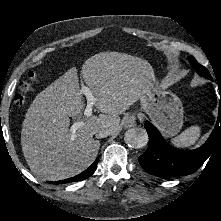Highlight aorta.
<instances>
[{
	"instance_id": "1",
	"label": "aorta",
	"mask_w": 221,
	"mask_h": 221,
	"mask_svg": "<svg viewBox=\"0 0 221 221\" xmlns=\"http://www.w3.org/2000/svg\"><path fill=\"white\" fill-rule=\"evenodd\" d=\"M125 143L131 148H142L148 143L147 131L143 128H131L125 132Z\"/></svg>"
}]
</instances>
